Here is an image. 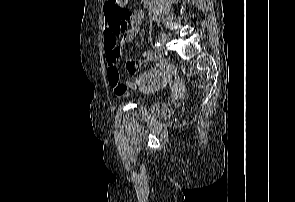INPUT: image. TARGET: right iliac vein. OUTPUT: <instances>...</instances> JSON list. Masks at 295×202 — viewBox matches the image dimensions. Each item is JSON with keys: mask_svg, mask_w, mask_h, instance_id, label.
Segmentation results:
<instances>
[{"mask_svg": "<svg viewBox=\"0 0 295 202\" xmlns=\"http://www.w3.org/2000/svg\"><path fill=\"white\" fill-rule=\"evenodd\" d=\"M158 39L161 45H166L167 41H168V37L165 33H159L158 35Z\"/></svg>", "mask_w": 295, "mask_h": 202, "instance_id": "1", "label": "right iliac vein"}]
</instances>
